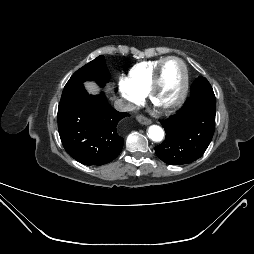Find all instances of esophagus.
Listing matches in <instances>:
<instances>
[{
	"mask_svg": "<svg viewBox=\"0 0 254 254\" xmlns=\"http://www.w3.org/2000/svg\"><path fill=\"white\" fill-rule=\"evenodd\" d=\"M137 121L140 123V124H143V125H149L151 124V120L146 118L145 116L143 115H138L136 117Z\"/></svg>",
	"mask_w": 254,
	"mask_h": 254,
	"instance_id": "1",
	"label": "esophagus"
}]
</instances>
